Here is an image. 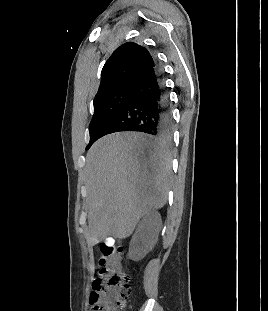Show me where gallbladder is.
Returning a JSON list of instances; mask_svg holds the SVG:
<instances>
[{
  "instance_id": "bac80fb5",
  "label": "gallbladder",
  "mask_w": 268,
  "mask_h": 311,
  "mask_svg": "<svg viewBox=\"0 0 268 311\" xmlns=\"http://www.w3.org/2000/svg\"><path fill=\"white\" fill-rule=\"evenodd\" d=\"M107 236L109 237V238H108L109 241H108L107 243L110 245V244L112 243L111 240H112L113 238L111 237L112 235H111L110 233H109Z\"/></svg>"
}]
</instances>
